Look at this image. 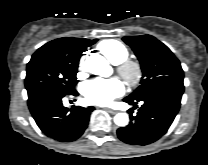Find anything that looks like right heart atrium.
<instances>
[{"label":"right heart atrium","instance_id":"d8ad5b80","mask_svg":"<svg viewBox=\"0 0 208 165\" xmlns=\"http://www.w3.org/2000/svg\"><path fill=\"white\" fill-rule=\"evenodd\" d=\"M78 70H79L80 74L82 75L85 70V57H82L80 59L79 64H78Z\"/></svg>","mask_w":208,"mask_h":165}]
</instances>
